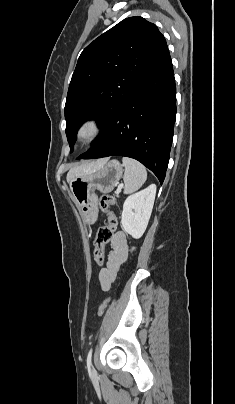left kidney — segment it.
Here are the masks:
<instances>
[{"mask_svg":"<svg viewBox=\"0 0 235 404\" xmlns=\"http://www.w3.org/2000/svg\"><path fill=\"white\" fill-rule=\"evenodd\" d=\"M156 195V185L127 197L123 205L121 224L124 231L133 238L139 239L144 234Z\"/></svg>","mask_w":235,"mask_h":404,"instance_id":"obj_1","label":"left kidney"}]
</instances>
